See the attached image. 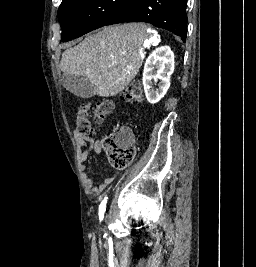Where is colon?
<instances>
[{
	"mask_svg": "<svg viewBox=\"0 0 256 267\" xmlns=\"http://www.w3.org/2000/svg\"><path fill=\"white\" fill-rule=\"evenodd\" d=\"M122 99L126 103H140L143 100V88L137 80L130 82L127 89L122 92ZM114 108L112 100H105L93 108L83 106L78 109L76 115L77 132L86 138L93 136V127L90 117L102 122L109 118ZM102 147L107 152L110 165L114 168H124L134 161L137 147L131 141V133L128 129L119 131L118 135L106 136L102 141Z\"/></svg>",
	"mask_w": 256,
	"mask_h": 267,
	"instance_id": "5ec220e1",
	"label": "colon"
}]
</instances>
